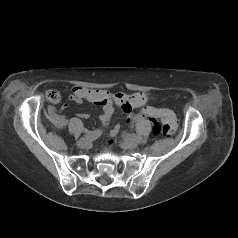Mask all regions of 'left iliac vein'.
Instances as JSON below:
<instances>
[{
	"instance_id": "left-iliac-vein-1",
	"label": "left iliac vein",
	"mask_w": 238,
	"mask_h": 238,
	"mask_svg": "<svg viewBox=\"0 0 238 238\" xmlns=\"http://www.w3.org/2000/svg\"><path fill=\"white\" fill-rule=\"evenodd\" d=\"M121 146L124 149H133L137 146V142L135 140L125 139L121 142Z\"/></svg>"
}]
</instances>
